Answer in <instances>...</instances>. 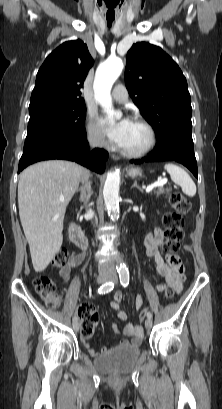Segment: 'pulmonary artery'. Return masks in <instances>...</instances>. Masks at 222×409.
Returning <instances> with one entry per match:
<instances>
[{"label": "pulmonary artery", "instance_id": "obj_1", "mask_svg": "<svg viewBox=\"0 0 222 409\" xmlns=\"http://www.w3.org/2000/svg\"><path fill=\"white\" fill-rule=\"evenodd\" d=\"M112 97L118 103H125L128 100L126 87L122 84L116 85L112 91Z\"/></svg>", "mask_w": 222, "mask_h": 409}]
</instances>
